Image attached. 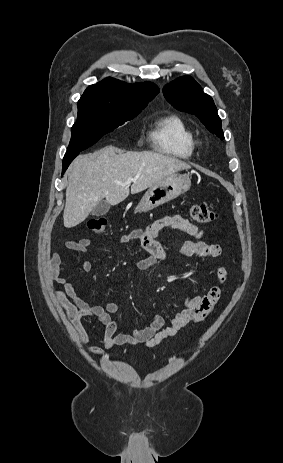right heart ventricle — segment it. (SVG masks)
<instances>
[{
	"label": "right heart ventricle",
	"instance_id": "right-heart-ventricle-1",
	"mask_svg": "<svg viewBox=\"0 0 283 463\" xmlns=\"http://www.w3.org/2000/svg\"><path fill=\"white\" fill-rule=\"evenodd\" d=\"M150 139L155 150L175 158L188 159L195 150L194 132L176 114L159 119L151 130Z\"/></svg>",
	"mask_w": 283,
	"mask_h": 463
}]
</instances>
